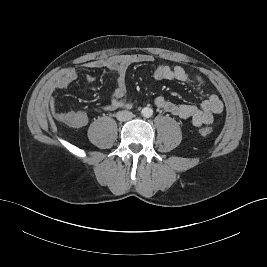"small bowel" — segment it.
<instances>
[{
	"mask_svg": "<svg viewBox=\"0 0 267 267\" xmlns=\"http://www.w3.org/2000/svg\"><path fill=\"white\" fill-rule=\"evenodd\" d=\"M154 57L144 53L117 54L106 58H99L84 63L88 69L106 68L112 74L115 80V88L110 94L109 102L101 109L103 111H114L117 109L131 108L133 102L127 96L126 74L129 67L136 63L153 62ZM154 78L157 80H175L191 86L196 92L202 93L206 88V81L201 75H189L181 66H169L159 64L154 70ZM78 77L75 69H69L62 74L55 82L56 90L67 89ZM86 83L91 84L94 76L87 75ZM157 108L170 113L181 119H189L194 127H200L204 124H211L216 114L223 112V103L214 93H207L206 98L199 106L192 104H177L157 96L154 100ZM50 107L53 114L59 118L71 122L76 127H84L88 124L89 118L86 112L73 110L62 112L57 109L53 97L50 99Z\"/></svg>",
	"mask_w": 267,
	"mask_h": 267,
	"instance_id": "obj_1",
	"label": "small bowel"
}]
</instances>
